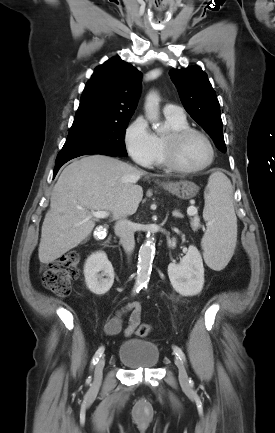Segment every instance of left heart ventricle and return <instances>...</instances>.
Here are the masks:
<instances>
[{
    "instance_id": "obj_1",
    "label": "left heart ventricle",
    "mask_w": 275,
    "mask_h": 433,
    "mask_svg": "<svg viewBox=\"0 0 275 433\" xmlns=\"http://www.w3.org/2000/svg\"><path fill=\"white\" fill-rule=\"evenodd\" d=\"M210 158V149L203 137L194 134L186 138L178 151V159L185 167H198Z\"/></svg>"
}]
</instances>
